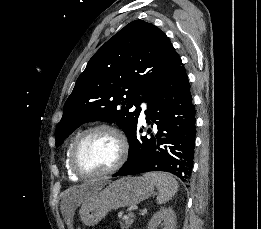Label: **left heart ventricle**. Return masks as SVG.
<instances>
[{
  "label": "left heart ventricle",
  "instance_id": "obj_1",
  "mask_svg": "<svg viewBox=\"0 0 261 229\" xmlns=\"http://www.w3.org/2000/svg\"><path fill=\"white\" fill-rule=\"evenodd\" d=\"M119 147L115 137L104 131L89 136L76 154L77 165L89 172L109 169L117 161Z\"/></svg>",
  "mask_w": 261,
  "mask_h": 229
}]
</instances>
